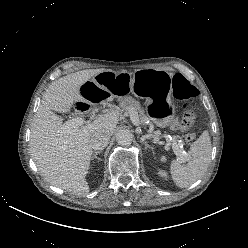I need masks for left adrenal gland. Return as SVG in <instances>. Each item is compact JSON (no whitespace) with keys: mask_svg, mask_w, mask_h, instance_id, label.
Listing matches in <instances>:
<instances>
[{"mask_svg":"<svg viewBox=\"0 0 248 248\" xmlns=\"http://www.w3.org/2000/svg\"><path fill=\"white\" fill-rule=\"evenodd\" d=\"M141 142L145 145V149L151 148L150 145L146 141H144L143 139H141Z\"/></svg>","mask_w":248,"mask_h":248,"instance_id":"1","label":"left adrenal gland"}]
</instances>
